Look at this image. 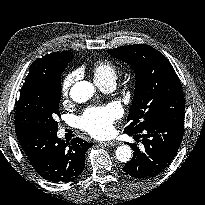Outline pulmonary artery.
Instances as JSON below:
<instances>
[{
	"label": "pulmonary artery",
	"mask_w": 205,
	"mask_h": 205,
	"mask_svg": "<svg viewBox=\"0 0 205 205\" xmlns=\"http://www.w3.org/2000/svg\"><path fill=\"white\" fill-rule=\"evenodd\" d=\"M103 90L110 91L115 86V81L110 80L99 85Z\"/></svg>",
	"instance_id": "1"
}]
</instances>
